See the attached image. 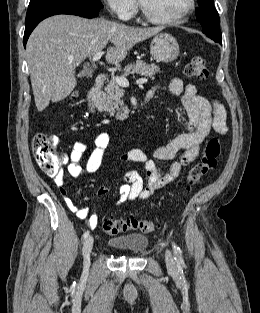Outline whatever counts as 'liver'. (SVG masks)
Wrapping results in <instances>:
<instances>
[{
	"instance_id": "1",
	"label": "liver",
	"mask_w": 260,
	"mask_h": 313,
	"mask_svg": "<svg viewBox=\"0 0 260 313\" xmlns=\"http://www.w3.org/2000/svg\"><path fill=\"white\" fill-rule=\"evenodd\" d=\"M161 27H130L103 18L85 19L56 15L43 20L30 35L27 62L35 105L43 111L65 99L76 87L75 70L110 41L106 61L118 64L137 43L152 37Z\"/></svg>"
}]
</instances>
